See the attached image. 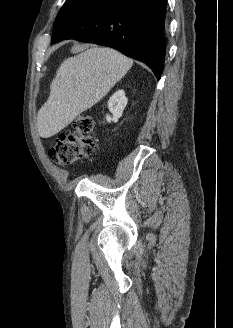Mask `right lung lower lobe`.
I'll return each instance as SVG.
<instances>
[{"mask_svg": "<svg viewBox=\"0 0 233 328\" xmlns=\"http://www.w3.org/2000/svg\"><path fill=\"white\" fill-rule=\"evenodd\" d=\"M166 0H94L54 23L52 42L109 46L144 62L159 80L164 67Z\"/></svg>", "mask_w": 233, "mask_h": 328, "instance_id": "right-lung-lower-lobe-1", "label": "right lung lower lobe"}]
</instances>
